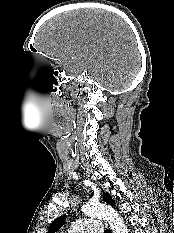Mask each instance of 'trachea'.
I'll return each instance as SVG.
<instances>
[{
  "instance_id": "1",
  "label": "trachea",
  "mask_w": 174,
  "mask_h": 233,
  "mask_svg": "<svg viewBox=\"0 0 174 233\" xmlns=\"http://www.w3.org/2000/svg\"><path fill=\"white\" fill-rule=\"evenodd\" d=\"M105 233H111V231L109 229L105 230Z\"/></svg>"
}]
</instances>
